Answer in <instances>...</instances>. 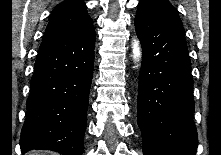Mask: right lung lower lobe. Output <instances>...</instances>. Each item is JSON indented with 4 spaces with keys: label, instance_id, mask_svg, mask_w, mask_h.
<instances>
[{
    "label": "right lung lower lobe",
    "instance_id": "right-lung-lower-lobe-1",
    "mask_svg": "<svg viewBox=\"0 0 221 155\" xmlns=\"http://www.w3.org/2000/svg\"><path fill=\"white\" fill-rule=\"evenodd\" d=\"M96 34L84 28L45 34L31 79L21 151L82 155Z\"/></svg>",
    "mask_w": 221,
    "mask_h": 155
}]
</instances>
